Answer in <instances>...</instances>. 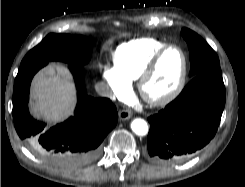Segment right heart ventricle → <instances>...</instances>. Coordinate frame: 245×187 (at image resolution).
Segmentation results:
<instances>
[{"label":"right heart ventricle","mask_w":245,"mask_h":187,"mask_svg":"<svg viewBox=\"0 0 245 187\" xmlns=\"http://www.w3.org/2000/svg\"><path fill=\"white\" fill-rule=\"evenodd\" d=\"M165 45V42L151 37L121 44L113 55L119 75L128 84L137 81L150 59Z\"/></svg>","instance_id":"obj_1"}]
</instances>
